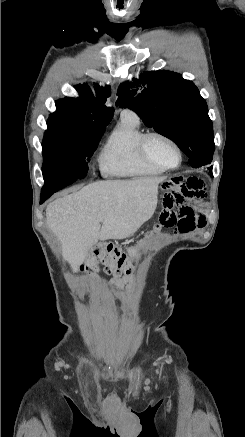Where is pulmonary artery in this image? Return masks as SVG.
I'll use <instances>...</instances> for the list:
<instances>
[{"instance_id":"1","label":"pulmonary artery","mask_w":245,"mask_h":437,"mask_svg":"<svg viewBox=\"0 0 245 437\" xmlns=\"http://www.w3.org/2000/svg\"><path fill=\"white\" fill-rule=\"evenodd\" d=\"M122 116H131V117H136L135 114H134L132 111H130V110H124V111L122 112Z\"/></svg>"}]
</instances>
